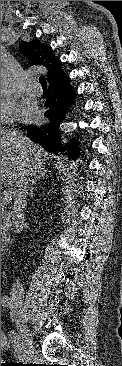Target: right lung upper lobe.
Returning a JSON list of instances; mask_svg holds the SVG:
<instances>
[{"label": "right lung upper lobe", "instance_id": "right-lung-upper-lobe-1", "mask_svg": "<svg viewBox=\"0 0 122 366\" xmlns=\"http://www.w3.org/2000/svg\"><path fill=\"white\" fill-rule=\"evenodd\" d=\"M24 56L33 64L44 66L48 70L47 80L50 83L62 79L65 73L62 71V63L52 55L51 47H48L37 40L23 42L20 47Z\"/></svg>", "mask_w": 122, "mask_h": 366}]
</instances>
